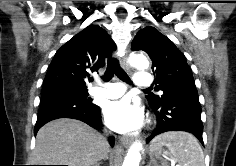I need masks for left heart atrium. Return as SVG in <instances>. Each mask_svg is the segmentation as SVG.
Returning a JSON list of instances; mask_svg holds the SVG:
<instances>
[{"label":"left heart atrium","instance_id":"39dd6f15","mask_svg":"<svg viewBox=\"0 0 236 166\" xmlns=\"http://www.w3.org/2000/svg\"><path fill=\"white\" fill-rule=\"evenodd\" d=\"M103 113L108 127L119 133H129L139 129L144 120L142 108L129 98L107 103Z\"/></svg>","mask_w":236,"mask_h":166}]
</instances>
